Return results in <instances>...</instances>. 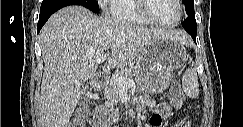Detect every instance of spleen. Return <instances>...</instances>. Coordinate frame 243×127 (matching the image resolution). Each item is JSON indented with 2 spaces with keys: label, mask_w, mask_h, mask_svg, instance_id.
I'll use <instances>...</instances> for the list:
<instances>
[{
  "label": "spleen",
  "mask_w": 243,
  "mask_h": 127,
  "mask_svg": "<svg viewBox=\"0 0 243 127\" xmlns=\"http://www.w3.org/2000/svg\"><path fill=\"white\" fill-rule=\"evenodd\" d=\"M182 86L184 92L190 98H196L199 94V84H198V76L197 69L192 67L185 71L182 77Z\"/></svg>",
  "instance_id": "1"
}]
</instances>
